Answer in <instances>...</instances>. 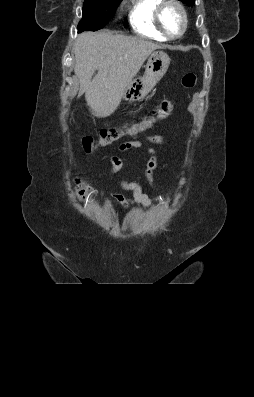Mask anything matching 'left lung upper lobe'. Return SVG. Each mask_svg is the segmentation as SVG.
<instances>
[{
	"instance_id": "5c2ea615",
	"label": "left lung upper lobe",
	"mask_w": 254,
	"mask_h": 397,
	"mask_svg": "<svg viewBox=\"0 0 254 397\" xmlns=\"http://www.w3.org/2000/svg\"><path fill=\"white\" fill-rule=\"evenodd\" d=\"M180 1H182L183 3H186L189 6H191L195 2V0H180Z\"/></svg>"
}]
</instances>
